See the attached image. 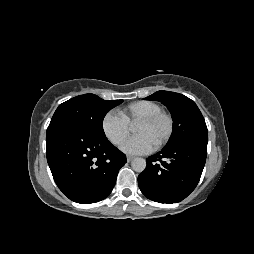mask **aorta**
<instances>
[{
  "instance_id": "aorta-1",
  "label": "aorta",
  "mask_w": 254,
  "mask_h": 254,
  "mask_svg": "<svg viewBox=\"0 0 254 254\" xmlns=\"http://www.w3.org/2000/svg\"><path fill=\"white\" fill-rule=\"evenodd\" d=\"M131 166L134 171L141 173L146 168V160L143 158L137 157L132 160Z\"/></svg>"
}]
</instances>
